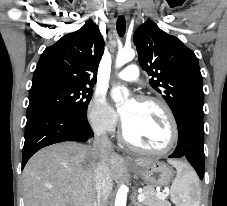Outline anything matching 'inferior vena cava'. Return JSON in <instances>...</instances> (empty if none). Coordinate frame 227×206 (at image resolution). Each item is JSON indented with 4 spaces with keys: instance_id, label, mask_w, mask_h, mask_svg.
I'll list each match as a JSON object with an SVG mask.
<instances>
[{
    "instance_id": "1",
    "label": "inferior vena cava",
    "mask_w": 227,
    "mask_h": 206,
    "mask_svg": "<svg viewBox=\"0 0 227 206\" xmlns=\"http://www.w3.org/2000/svg\"><path fill=\"white\" fill-rule=\"evenodd\" d=\"M112 144L105 134H96L93 141L92 151L98 156L95 165V197L93 206H105L111 191L112 178L107 167V157L112 152Z\"/></svg>"
}]
</instances>
